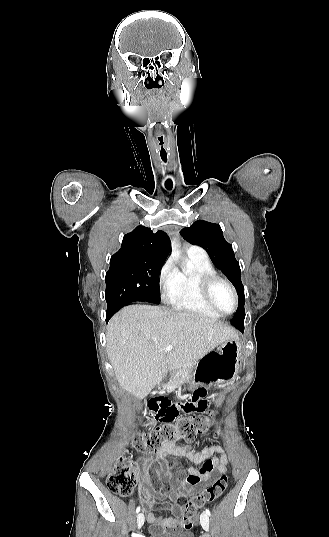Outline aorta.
I'll list each match as a JSON object with an SVG mask.
<instances>
[{
    "label": "aorta",
    "instance_id": "762f6f07",
    "mask_svg": "<svg viewBox=\"0 0 329 537\" xmlns=\"http://www.w3.org/2000/svg\"><path fill=\"white\" fill-rule=\"evenodd\" d=\"M172 247H175V243H174V242H172Z\"/></svg>",
    "mask_w": 329,
    "mask_h": 537
}]
</instances>
